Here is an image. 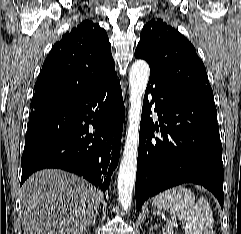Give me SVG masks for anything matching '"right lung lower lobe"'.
<instances>
[{
	"label": "right lung lower lobe",
	"instance_id": "right-lung-lower-lobe-1",
	"mask_svg": "<svg viewBox=\"0 0 241 234\" xmlns=\"http://www.w3.org/2000/svg\"><path fill=\"white\" fill-rule=\"evenodd\" d=\"M30 107L20 185L38 170L60 168L105 194L119 160L125 114L117 74L88 90Z\"/></svg>",
	"mask_w": 241,
	"mask_h": 234
}]
</instances>
